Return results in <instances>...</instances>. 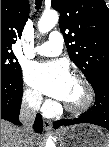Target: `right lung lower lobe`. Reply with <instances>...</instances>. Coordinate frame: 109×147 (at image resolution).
<instances>
[{"mask_svg":"<svg viewBox=\"0 0 109 147\" xmlns=\"http://www.w3.org/2000/svg\"><path fill=\"white\" fill-rule=\"evenodd\" d=\"M23 93L22 75L16 77L1 76V118L14 124H20L18 117ZM34 129L43 131V122L40 114L37 115Z\"/></svg>","mask_w":109,"mask_h":147,"instance_id":"1","label":"right lung lower lobe"}]
</instances>
